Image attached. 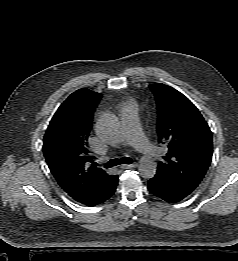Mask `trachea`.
<instances>
[{
    "instance_id": "trachea-1",
    "label": "trachea",
    "mask_w": 238,
    "mask_h": 261,
    "mask_svg": "<svg viewBox=\"0 0 238 261\" xmlns=\"http://www.w3.org/2000/svg\"><path fill=\"white\" fill-rule=\"evenodd\" d=\"M132 159L129 157H122L120 159H111L105 165L106 168L114 167L120 164H131Z\"/></svg>"
}]
</instances>
